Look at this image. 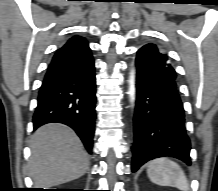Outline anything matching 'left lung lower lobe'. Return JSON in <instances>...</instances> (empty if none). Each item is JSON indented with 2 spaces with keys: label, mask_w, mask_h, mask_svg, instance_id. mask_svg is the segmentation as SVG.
Segmentation results:
<instances>
[{
  "label": "left lung lower lobe",
  "mask_w": 218,
  "mask_h": 191,
  "mask_svg": "<svg viewBox=\"0 0 218 191\" xmlns=\"http://www.w3.org/2000/svg\"><path fill=\"white\" fill-rule=\"evenodd\" d=\"M190 149L174 69L154 63L146 52L139 50L132 172L162 156L175 157L190 165Z\"/></svg>",
  "instance_id": "left-lung-lower-lobe-1"
}]
</instances>
